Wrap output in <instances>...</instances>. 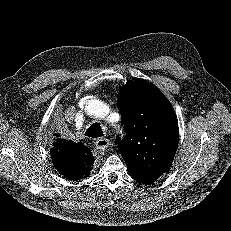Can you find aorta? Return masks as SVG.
<instances>
[{
    "mask_svg": "<svg viewBox=\"0 0 231 231\" xmlns=\"http://www.w3.org/2000/svg\"><path fill=\"white\" fill-rule=\"evenodd\" d=\"M84 109L88 114L96 118H104L107 105L100 100L91 98L84 102Z\"/></svg>",
    "mask_w": 231,
    "mask_h": 231,
    "instance_id": "1",
    "label": "aorta"
}]
</instances>
